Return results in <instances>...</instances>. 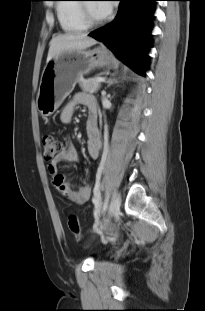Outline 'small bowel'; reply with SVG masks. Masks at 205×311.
<instances>
[{
    "mask_svg": "<svg viewBox=\"0 0 205 311\" xmlns=\"http://www.w3.org/2000/svg\"><path fill=\"white\" fill-rule=\"evenodd\" d=\"M78 105H84L89 110V118L86 123L87 133V152L91 159H96L99 156L101 147L100 131L96 123L97 102L95 98L87 93H77L71 101H69L61 112V121L64 124H69L73 120L75 109ZM78 159L77 151L71 143H67L61 151L54 156L49 162L47 168L52 177L54 188L65 196L68 200L83 204L87 202L92 193V186L88 183L75 188L64 174L58 172L60 163H75Z\"/></svg>",
    "mask_w": 205,
    "mask_h": 311,
    "instance_id": "1",
    "label": "small bowel"
}]
</instances>
